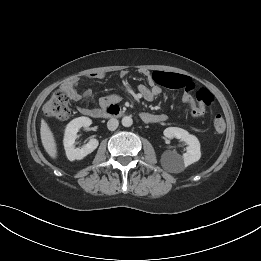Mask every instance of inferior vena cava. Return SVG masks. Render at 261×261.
<instances>
[{
	"mask_svg": "<svg viewBox=\"0 0 261 261\" xmlns=\"http://www.w3.org/2000/svg\"><path fill=\"white\" fill-rule=\"evenodd\" d=\"M119 125V122L117 119L115 118H111L108 122H107V127L110 131H114L117 129Z\"/></svg>",
	"mask_w": 261,
	"mask_h": 261,
	"instance_id": "602c4592",
	"label": "inferior vena cava"
}]
</instances>
